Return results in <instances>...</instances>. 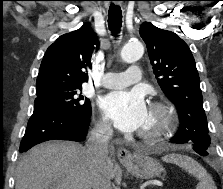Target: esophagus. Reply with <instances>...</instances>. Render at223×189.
<instances>
[{
    "label": "esophagus",
    "mask_w": 223,
    "mask_h": 189,
    "mask_svg": "<svg viewBox=\"0 0 223 189\" xmlns=\"http://www.w3.org/2000/svg\"><path fill=\"white\" fill-rule=\"evenodd\" d=\"M116 3L120 4L119 1H116ZM117 157L122 164H129L132 161L131 152L125 148H120L117 151Z\"/></svg>",
    "instance_id": "obj_1"
}]
</instances>
